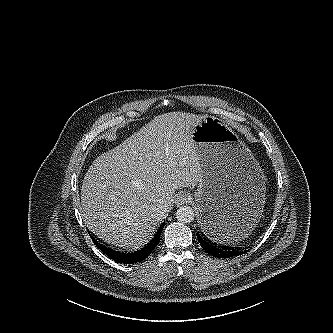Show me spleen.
<instances>
[{
	"label": "spleen",
	"mask_w": 333,
	"mask_h": 333,
	"mask_svg": "<svg viewBox=\"0 0 333 333\" xmlns=\"http://www.w3.org/2000/svg\"><path fill=\"white\" fill-rule=\"evenodd\" d=\"M251 233V229L250 228H237L234 229L230 232H228L224 238L222 240L224 241H228V242H238L241 241L242 239H245L248 237V235ZM221 241V240H219Z\"/></svg>",
	"instance_id": "obj_1"
}]
</instances>
